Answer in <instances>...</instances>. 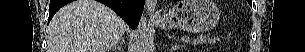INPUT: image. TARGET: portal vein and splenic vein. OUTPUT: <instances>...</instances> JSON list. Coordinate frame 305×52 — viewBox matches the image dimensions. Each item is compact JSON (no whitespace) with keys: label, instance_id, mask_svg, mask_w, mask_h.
<instances>
[{"label":"portal vein and splenic vein","instance_id":"portal-vein-and-splenic-vein-1","mask_svg":"<svg viewBox=\"0 0 305 52\" xmlns=\"http://www.w3.org/2000/svg\"><path fill=\"white\" fill-rule=\"evenodd\" d=\"M186 39L185 38H182V41H185Z\"/></svg>","mask_w":305,"mask_h":52}]
</instances>
